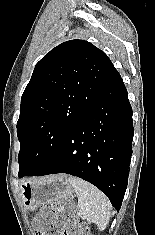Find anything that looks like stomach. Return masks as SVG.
<instances>
[{
	"label": "stomach",
	"mask_w": 155,
	"mask_h": 235,
	"mask_svg": "<svg viewBox=\"0 0 155 235\" xmlns=\"http://www.w3.org/2000/svg\"><path fill=\"white\" fill-rule=\"evenodd\" d=\"M72 194L73 187L65 175L24 182L20 187L21 200L27 210H34L38 205L68 198Z\"/></svg>",
	"instance_id": "1"
}]
</instances>
